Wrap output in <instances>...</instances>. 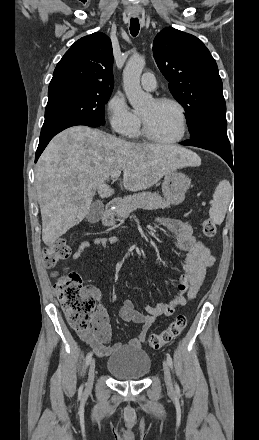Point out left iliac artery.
Wrapping results in <instances>:
<instances>
[{
    "mask_svg": "<svg viewBox=\"0 0 259 440\" xmlns=\"http://www.w3.org/2000/svg\"><path fill=\"white\" fill-rule=\"evenodd\" d=\"M167 363L172 368V365H173L172 358H171V356L169 354H167ZM175 388H178L177 384H175Z\"/></svg>",
    "mask_w": 259,
    "mask_h": 440,
    "instance_id": "obj_1",
    "label": "left iliac artery"
}]
</instances>
